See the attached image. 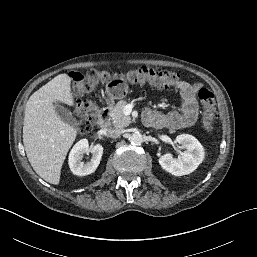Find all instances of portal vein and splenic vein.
Wrapping results in <instances>:
<instances>
[{"instance_id":"portal-vein-and-splenic-vein-1","label":"portal vein and splenic vein","mask_w":257,"mask_h":257,"mask_svg":"<svg viewBox=\"0 0 257 257\" xmlns=\"http://www.w3.org/2000/svg\"><path fill=\"white\" fill-rule=\"evenodd\" d=\"M131 110H132V106H130V105L125 106L124 114H126V115L129 114L131 112Z\"/></svg>"}]
</instances>
